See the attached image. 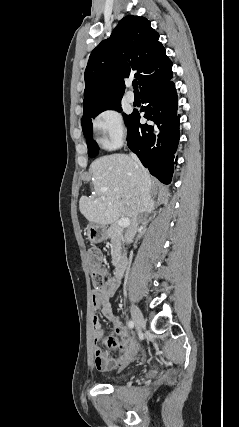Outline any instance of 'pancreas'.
I'll use <instances>...</instances> for the list:
<instances>
[{
    "mask_svg": "<svg viewBox=\"0 0 239 427\" xmlns=\"http://www.w3.org/2000/svg\"><path fill=\"white\" fill-rule=\"evenodd\" d=\"M107 235L111 239L112 264L115 265L122 250L123 229L117 224H112L107 230Z\"/></svg>",
    "mask_w": 239,
    "mask_h": 427,
    "instance_id": "obj_1",
    "label": "pancreas"
}]
</instances>
